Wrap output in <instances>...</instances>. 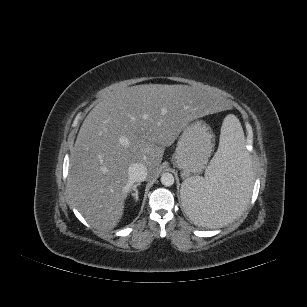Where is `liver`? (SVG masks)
I'll list each match as a JSON object with an SVG mask.
<instances>
[{
	"instance_id": "6515ba94",
	"label": "liver",
	"mask_w": 307,
	"mask_h": 307,
	"mask_svg": "<svg viewBox=\"0 0 307 307\" xmlns=\"http://www.w3.org/2000/svg\"><path fill=\"white\" fill-rule=\"evenodd\" d=\"M227 102L187 85L144 84L122 88L87 115L70 157L68 188L74 205L100 230L119 223L133 190L128 168L142 163L153 176L166 147L192 120L223 114Z\"/></svg>"
}]
</instances>
